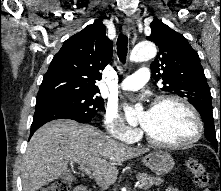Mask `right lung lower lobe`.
<instances>
[{"instance_id":"right-lung-lower-lobe-1","label":"right lung lower lobe","mask_w":221,"mask_h":191,"mask_svg":"<svg viewBox=\"0 0 221 191\" xmlns=\"http://www.w3.org/2000/svg\"><path fill=\"white\" fill-rule=\"evenodd\" d=\"M55 119H71L80 123H87L84 120L74 117L63 107L51 101H37L35 106L33 122L31 125L30 137L43 124Z\"/></svg>"}]
</instances>
